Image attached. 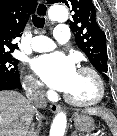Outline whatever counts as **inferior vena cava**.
<instances>
[{
	"label": "inferior vena cava",
	"mask_w": 117,
	"mask_h": 136,
	"mask_svg": "<svg viewBox=\"0 0 117 136\" xmlns=\"http://www.w3.org/2000/svg\"><path fill=\"white\" fill-rule=\"evenodd\" d=\"M27 101L33 106V108H45L47 106V100L45 98V91L42 87L34 83L32 85V90L27 93ZM34 113L30 114V125L28 127L27 136H38L37 135V121L38 114L37 110L33 111Z\"/></svg>",
	"instance_id": "1"
}]
</instances>
